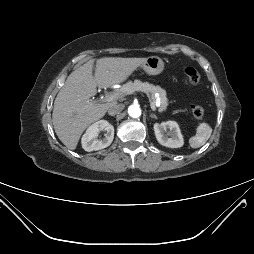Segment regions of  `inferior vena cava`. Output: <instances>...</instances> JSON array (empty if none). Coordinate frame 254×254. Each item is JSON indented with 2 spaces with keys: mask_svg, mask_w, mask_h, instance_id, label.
Masks as SVG:
<instances>
[{
  "mask_svg": "<svg viewBox=\"0 0 254 254\" xmlns=\"http://www.w3.org/2000/svg\"><path fill=\"white\" fill-rule=\"evenodd\" d=\"M124 109L122 104L115 103L108 108V114L114 116Z\"/></svg>",
  "mask_w": 254,
  "mask_h": 254,
  "instance_id": "1",
  "label": "inferior vena cava"
}]
</instances>
